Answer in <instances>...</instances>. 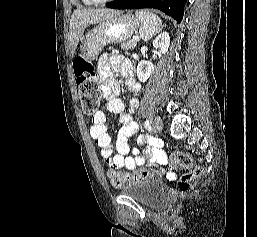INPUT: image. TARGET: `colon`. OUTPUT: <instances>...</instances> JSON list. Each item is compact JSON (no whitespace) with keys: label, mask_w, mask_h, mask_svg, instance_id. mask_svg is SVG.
I'll list each match as a JSON object with an SVG mask.
<instances>
[{"label":"colon","mask_w":257,"mask_h":237,"mask_svg":"<svg viewBox=\"0 0 257 237\" xmlns=\"http://www.w3.org/2000/svg\"><path fill=\"white\" fill-rule=\"evenodd\" d=\"M73 68L82 109L88 115H95L100 105L101 90L94 64L82 56H77L74 59ZM172 163L177 168L186 169L178 182L180 192L185 194L192 189L194 181L201 175L202 170L200 167L194 165L191 156L186 152L174 153L172 155ZM160 175L161 173L159 171H153L148 168L131 173H123L115 170L108 172L110 183L116 189L124 188L141 181L155 180Z\"/></svg>","instance_id":"5ec220e1"}]
</instances>
